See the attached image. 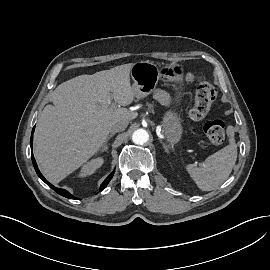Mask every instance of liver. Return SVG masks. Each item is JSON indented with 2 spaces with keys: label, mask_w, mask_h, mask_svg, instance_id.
Segmentation results:
<instances>
[{
  "label": "liver",
  "mask_w": 270,
  "mask_h": 270,
  "mask_svg": "<svg viewBox=\"0 0 270 270\" xmlns=\"http://www.w3.org/2000/svg\"><path fill=\"white\" fill-rule=\"evenodd\" d=\"M133 64L80 75L60 84L53 105L41 112L34 134V156L45 177L58 183L81 167L105 143L110 127L138 116L127 108L134 101L130 84Z\"/></svg>",
  "instance_id": "1"
}]
</instances>
